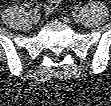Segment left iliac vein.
Masks as SVG:
<instances>
[{
    "mask_svg": "<svg viewBox=\"0 0 111 106\" xmlns=\"http://www.w3.org/2000/svg\"><path fill=\"white\" fill-rule=\"evenodd\" d=\"M72 16H73L74 20H76V21L79 20V15L78 14H73Z\"/></svg>",
    "mask_w": 111,
    "mask_h": 106,
    "instance_id": "left-iliac-vein-1",
    "label": "left iliac vein"
}]
</instances>
